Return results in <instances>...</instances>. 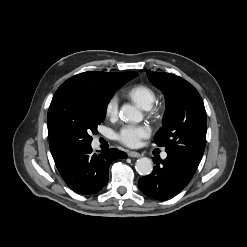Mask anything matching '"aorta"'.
<instances>
[{
  "label": "aorta",
  "mask_w": 247,
  "mask_h": 247,
  "mask_svg": "<svg viewBox=\"0 0 247 247\" xmlns=\"http://www.w3.org/2000/svg\"><path fill=\"white\" fill-rule=\"evenodd\" d=\"M120 117L123 120L138 123L142 120L141 112L130 104H124L120 110ZM136 171L143 176L149 175L153 170L152 160L147 157L138 159L135 163Z\"/></svg>",
  "instance_id": "aorta-1"
}]
</instances>
